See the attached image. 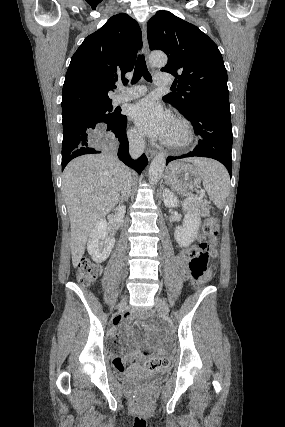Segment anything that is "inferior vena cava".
Returning <instances> with one entry per match:
<instances>
[{
  "mask_svg": "<svg viewBox=\"0 0 285 427\" xmlns=\"http://www.w3.org/2000/svg\"><path fill=\"white\" fill-rule=\"evenodd\" d=\"M144 152V137L141 134H134L129 137V153L133 159L139 158ZM133 176L131 172H127L124 176V181L121 189V198L125 200L129 197Z\"/></svg>",
  "mask_w": 285,
  "mask_h": 427,
  "instance_id": "1",
  "label": "inferior vena cava"
}]
</instances>
